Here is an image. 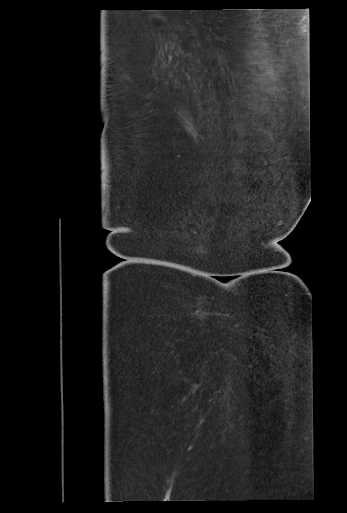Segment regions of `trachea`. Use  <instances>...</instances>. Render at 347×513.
I'll return each mask as SVG.
<instances>
[{"instance_id":"3493384b","label":"trachea","mask_w":347,"mask_h":513,"mask_svg":"<svg viewBox=\"0 0 347 513\" xmlns=\"http://www.w3.org/2000/svg\"><path fill=\"white\" fill-rule=\"evenodd\" d=\"M223 280L230 279L229 277H221Z\"/></svg>"}]
</instances>
